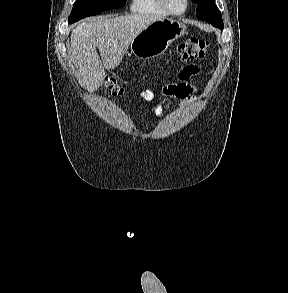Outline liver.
Instances as JSON below:
<instances>
[{"mask_svg":"<svg viewBox=\"0 0 288 293\" xmlns=\"http://www.w3.org/2000/svg\"><path fill=\"white\" fill-rule=\"evenodd\" d=\"M159 19L162 17L157 14H130L101 16L78 24L71 33L70 52L80 85L90 92L97 90L103 83L105 69L117 67L134 37Z\"/></svg>","mask_w":288,"mask_h":293,"instance_id":"liver-1","label":"liver"}]
</instances>
